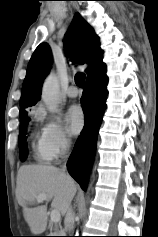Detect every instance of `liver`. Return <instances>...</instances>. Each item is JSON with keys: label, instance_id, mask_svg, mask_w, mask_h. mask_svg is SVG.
<instances>
[{"label": "liver", "instance_id": "1", "mask_svg": "<svg viewBox=\"0 0 158 237\" xmlns=\"http://www.w3.org/2000/svg\"><path fill=\"white\" fill-rule=\"evenodd\" d=\"M16 196L23 207V215L33 234L46 230L48 222L47 205L28 207L37 196L46 194L52 200L53 210L65 215L77 192L75 181L63 170L49 165H23L17 174Z\"/></svg>", "mask_w": 158, "mask_h": 237}]
</instances>
